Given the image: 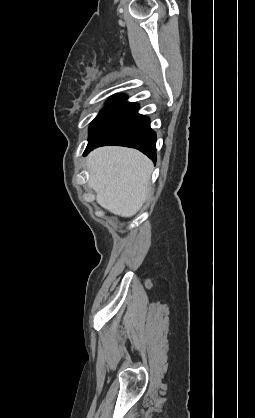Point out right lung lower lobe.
Returning <instances> with one entry per match:
<instances>
[{
  "instance_id": "1",
  "label": "right lung lower lobe",
  "mask_w": 255,
  "mask_h": 418,
  "mask_svg": "<svg viewBox=\"0 0 255 418\" xmlns=\"http://www.w3.org/2000/svg\"><path fill=\"white\" fill-rule=\"evenodd\" d=\"M138 108L127 102L125 95L114 97L90 124L84 155L99 146L119 145L136 148L155 162L156 133L149 118L138 114Z\"/></svg>"
}]
</instances>
